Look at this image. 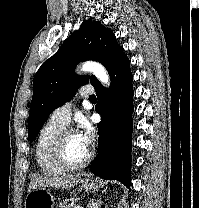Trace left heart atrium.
Segmentation results:
<instances>
[{
	"label": "left heart atrium",
	"mask_w": 199,
	"mask_h": 208,
	"mask_svg": "<svg viewBox=\"0 0 199 208\" xmlns=\"http://www.w3.org/2000/svg\"><path fill=\"white\" fill-rule=\"evenodd\" d=\"M77 134L86 146L90 145L93 136V129L87 120H81L80 129Z\"/></svg>",
	"instance_id": "1"
}]
</instances>
